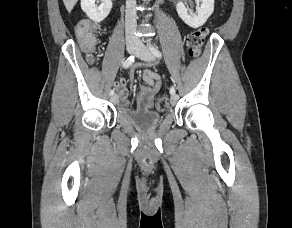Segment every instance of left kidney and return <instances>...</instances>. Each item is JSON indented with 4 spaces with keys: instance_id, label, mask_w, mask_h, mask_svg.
I'll use <instances>...</instances> for the list:
<instances>
[{
    "instance_id": "5707ae66",
    "label": "left kidney",
    "mask_w": 292,
    "mask_h": 228,
    "mask_svg": "<svg viewBox=\"0 0 292 228\" xmlns=\"http://www.w3.org/2000/svg\"><path fill=\"white\" fill-rule=\"evenodd\" d=\"M201 3L197 14L190 12L183 2H178L176 10L179 17L190 27L198 28L202 26L214 11V0H196Z\"/></svg>"
}]
</instances>
